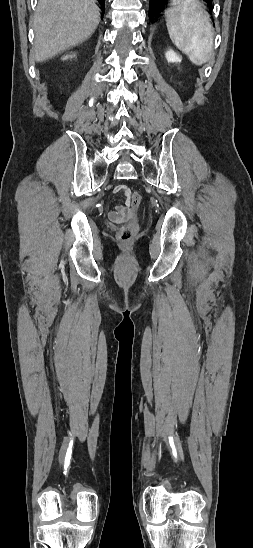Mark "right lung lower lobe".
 <instances>
[{
    "instance_id": "1",
    "label": "right lung lower lobe",
    "mask_w": 253,
    "mask_h": 548,
    "mask_svg": "<svg viewBox=\"0 0 253 548\" xmlns=\"http://www.w3.org/2000/svg\"><path fill=\"white\" fill-rule=\"evenodd\" d=\"M98 1L100 2L102 8L104 9V7H105V0H98Z\"/></svg>"
}]
</instances>
